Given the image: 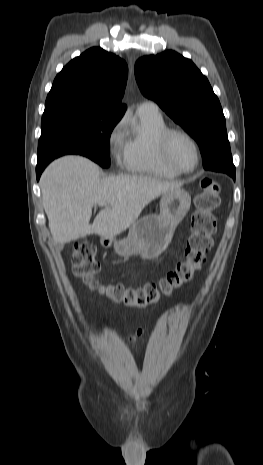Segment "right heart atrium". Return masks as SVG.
Wrapping results in <instances>:
<instances>
[{"instance_id": "d8ad5b80", "label": "right heart atrium", "mask_w": 263, "mask_h": 465, "mask_svg": "<svg viewBox=\"0 0 263 465\" xmlns=\"http://www.w3.org/2000/svg\"><path fill=\"white\" fill-rule=\"evenodd\" d=\"M124 120H118L109 130L107 146L110 154L117 163H121L124 154Z\"/></svg>"}]
</instances>
